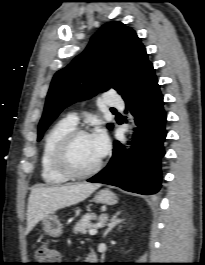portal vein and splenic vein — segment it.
Here are the masks:
<instances>
[{"instance_id": "1", "label": "portal vein and splenic vein", "mask_w": 205, "mask_h": 265, "mask_svg": "<svg viewBox=\"0 0 205 265\" xmlns=\"http://www.w3.org/2000/svg\"><path fill=\"white\" fill-rule=\"evenodd\" d=\"M97 232H98V231H97V228H93V229H90V230H89V234H90V235H96Z\"/></svg>"}]
</instances>
